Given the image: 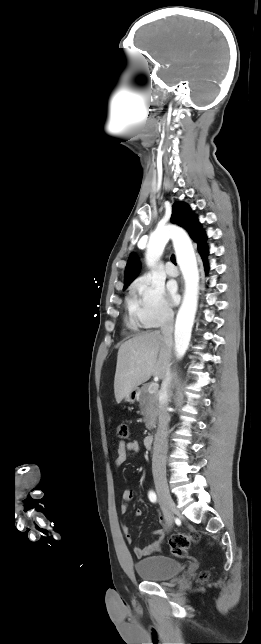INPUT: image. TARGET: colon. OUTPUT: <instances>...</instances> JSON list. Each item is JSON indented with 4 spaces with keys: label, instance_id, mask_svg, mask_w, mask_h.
Returning <instances> with one entry per match:
<instances>
[{
    "label": "colon",
    "instance_id": "5ec220e1",
    "mask_svg": "<svg viewBox=\"0 0 261 644\" xmlns=\"http://www.w3.org/2000/svg\"><path fill=\"white\" fill-rule=\"evenodd\" d=\"M117 436L122 439H128L129 437V428L126 423H120L117 427ZM200 540V535L198 532L190 533H181L175 532L171 534L169 538V546L171 552L178 556L184 557L187 554V551L192 543H197ZM204 579L207 578V575L203 576Z\"/></svg>",
    "mask_w": 261,
    "mask_h": 644
}]
</instances>
